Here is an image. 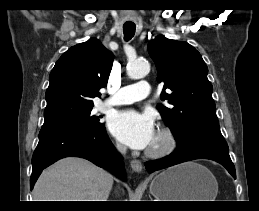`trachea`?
Returning a JSON list of instances; mask_svg holds the SVG:
<instances>
[{"label":"trachea","mask_w":259,"mask_h":211,"mask_svg":"<svg viewBox=\"0 0 259 211\" xmlns=\"http://www.w3.org/2000/svg\"><path fill=\"white\" fill-rule=\"evenodd\" d=\"M124 39L129 41L135 34L136 26L134 24L123 25Z\"/></svg>","instance_id":"1"}]
</instances>
